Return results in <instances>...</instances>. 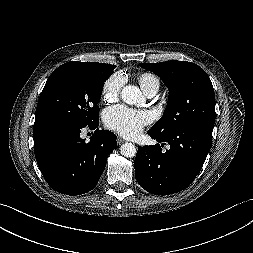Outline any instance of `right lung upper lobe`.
Masks as SVG:
<instances>
[{
	"mask_svg": "<svg viewBox=\"0 0 253 253\" xmlns=\"http://www.w3.org/2000/svg\"><path fill=\"white\" fill-rule=\"evenodd\" d=\"M99 64H102V63H99ZM102 65H104V66H108V65H110V64H102ZM111 66L116 67L115 65H111Z\"/></svg>",
	"mask_w": 253,
	"mask_h": 253,
	"instance_id": "cb5924a9",
	"label": "right lung upper lobe"
}]
</instances>
